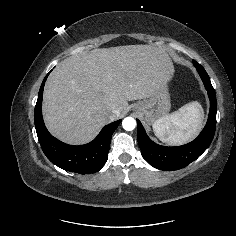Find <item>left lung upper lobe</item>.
Masks as SVG:
<instances>
[{"mask_svg":"<svg viewBox=\"0 0 236 236\" xmlns=\"http://www.w3.org/2000/svg\"><path fill=\"white\" fill-rule=\"evenodd\" d=\"M193 63H194V65H198V63L195 60H193Z\"/></svg>","mask_w":236,"mask_h":236,"instance_id":"obj_1","label":"left lung upper lobe"}]
</instances>
